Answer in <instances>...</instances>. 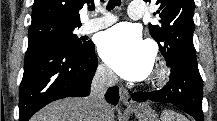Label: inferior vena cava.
Listing matches in <instances>:
<instances>
[{"label":"inferior vena cava","instance_id":"1","mask_svg":"<svg viewBox=\"0 0 217 121\" xmlns=\"http://www.w3.org/2000/svg\"><path fill=\"white\" fill-rule=\"evenodd\" d=\"M117 82L116 75L104 66L98 67L91 83L89 101V121H104L107 103L104 95L108 87Z\"/></svg>","mask_w":217,"mask_h":121}]
</instances>
